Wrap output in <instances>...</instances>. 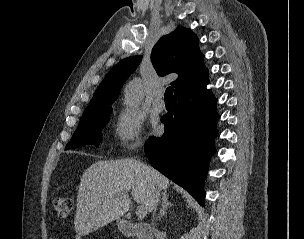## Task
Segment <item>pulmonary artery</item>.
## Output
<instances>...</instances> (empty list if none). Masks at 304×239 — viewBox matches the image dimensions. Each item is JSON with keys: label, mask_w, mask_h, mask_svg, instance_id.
<instances>
[{"label": "pulmonary artery", "mask_w": 304, "mask_h": 239, "mask_svg": "<svg viewBox=\"0 0 304 239\" xmlns=\"http://www.w3.org/2000/svg\"><path fill=\"white\" fill-rule=\"evenodd\" d=\"M162 96H163V91L162 90L158 91L157 96L153 102L154 108L158 111H162L165 108V102L162 99Z\"/></svg>", "instance_id": "1"}]
</instances>
